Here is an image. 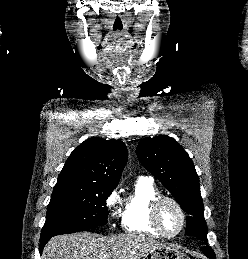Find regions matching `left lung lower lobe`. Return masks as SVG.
<instances>
[{"label": "left lung lower lobe", "instance_id": "obj_1", "mask_svg": "<svg viewBox=\"0 0 248 259\" xmlns=\"http://www.w3.org/2000/svg\"><path fill=\"white\" fill-rule=\"evenodd\" d=\"M201 251L209 258V259H216V256L213 250L210 247H202Z\"/></svg>", "mask_w": 248, "mask_h": 259}]
</instances>
